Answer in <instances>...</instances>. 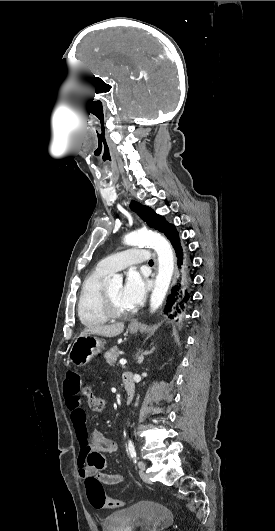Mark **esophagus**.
Segmentation results:
<instances>
[{"mask_svg": "<svg viewBox=\"0 0 275 531\" xmlns=\"http://www.w3.org/2000/svg\"><path fill=\"white\" fill-rule=\"evenodd\" d=\"M124 194H125V192H124V190H122V191H121V195H124ZM130 326H132V327H136V326H137V323H135V322H134V323H131Z\"/></svg>", "mask_w": 275, "mask_h": 531, "instance_id": "1", "label": "esophagus"}]
</instances>
